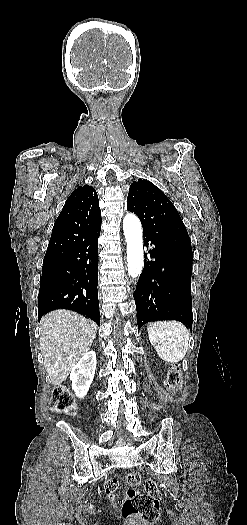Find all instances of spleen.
<instances>
[{"instance_id":"3e777b00","label":"spleen","mask_w":247,"mask_h":525,"mask_svg":"<svg viewBox=\"0 0 247 525\" xmlns=\"http://www.w3.org/2000/svg\"><path fill=\"white\" fill-rule=\"evenodd\" d=\"M148 337L157 355L166 363L177 365L188 351L190 333L183 323L157 321L147 325Z\"/></svg>"}]
</instances>
